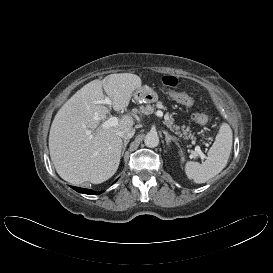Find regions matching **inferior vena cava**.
I'll use <instances>...</instances> for the list:
<instances>
[{
	"instance_id": "inferior-vena-cava-1",
	"label": "inferior vena cava",
	"mask_w": 273,
	"mask_h": 273,
	"mask_svg": "<svg viewBox=\"0 0 273 273\" xmlns=\"http://www.w3.org/2000/svg\"><path fill=\"white\" fill-rule=\"evenodd\" d=\"M135 134V129L134 128H124L122 129L121 131H119L118 135L125 139V140H128L130 138H132Z\"/></svg>"
}]
</instances>
